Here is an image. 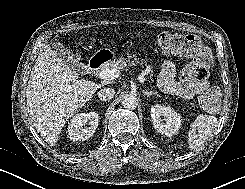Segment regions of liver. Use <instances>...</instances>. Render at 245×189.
<instances>
[{"label": "liver", "mask_w": 245, "mask_h": 189, "mask_svg": "<svg viewBox=\"0 0 245 189\" xmlns=\"http://www.w3.org/2000/svg\"><path fill=\"white\" fill-rule=\"evenodd\" d=\"M49 44H44L28 81L26 100L37 132L55 145L62 128L105 83L79 80Z\"/></svg>", "instance_id": "1"}]
</instances>
